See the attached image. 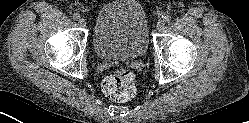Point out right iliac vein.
Masks as SVG:
<instances>
[{"label":"right iliac vein","mask_w":249,"mask_h":123,"mask_svg":"<svg viewBox=\"0 0 249 123\" xmlns=\"http://www.w3.org/2000/svg\"><path fill=\"white\" fill-rule=\"evenodd\" d=\"M78 24L80 27H85L86 26V21L83 18H79Z\"/></svg>","instance_id":"obj_1"}]
</instances>
